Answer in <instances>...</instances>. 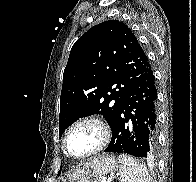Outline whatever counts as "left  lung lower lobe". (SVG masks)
Wrapping results in <instances>:
<instances>
[{
    "instance_id": "1",
    "label": "left lung lower lobe",
    "mask_w": 196,
    "mask_h": 182,
    "mask_svg": "<svg viewBox=\"0 0 196 182\" xmlns=\"http://www.w3.org/2000/svg\"><path fill=\"white\" fill-rule=\"evenodd\" d=\"M151 66L125 97L105 152L152 159L157 143V90Z\"/></svg>"
}]
</instances>
